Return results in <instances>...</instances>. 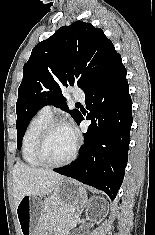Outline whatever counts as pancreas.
<instances>
[{
  "label": "pancreas",
  "instance_id": "cf45deb5",
  "mask_svg": "<svg viewBox=\"0 0 155 235\" xmlns=\"http://www.w3.org/2000/svg\"><path fill=\"white\" fill-rule=\"evenodd\" d=\"M49 203V202H47ZM56 213L62 217L66 222L72 223L76 220V214L72 213L70 209L64 207V206H56ZM47 211H51L49 206L46 209Z\"/></svg>",
  "mask_w": 155,
  "mask_h": 235
}]
</instances>
